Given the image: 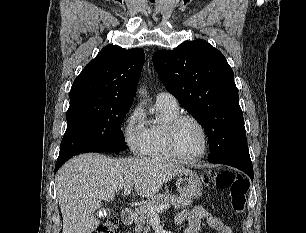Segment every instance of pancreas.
<instances>
[{
  "mask_svg": "<svg viewBox=\"0 0 306 233\" xmlns=\"http://www.w3.org/2000/svg\"><path fill=\"white\" fill-rule=\"evenodd\" d=\"M162 204H172L175 209H180L191 205L192 201L168 192L152 196L135 211L136 233H148L150 231L152 215L148 212V207Z\"/></svg>",
  "mask_w": 306,
  "mask_h": 233,
  "instance_id": "cf45deb5",
  "label": "pancreas"
}]
</instances>
